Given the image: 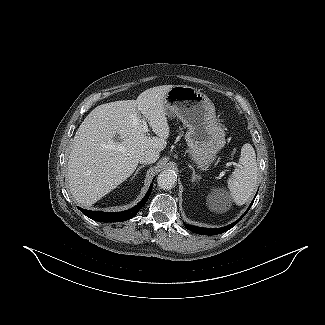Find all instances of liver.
Segmentation results:
<instances>
[{
    "label": "liver",
    "mask_w": 325,
    "mask_h": 325,
    "mask_svg": "<svg viewBox=\"0 0 325 325\" xmlns=\"http://www.w3.org/2000/svg\"><path fill=\"white\" fill-rule=\"evenodd\" d=\"M173 86L153 87L136 100L102 104L88 114L68 160V185L77 203L90 207L130 177L142 152L159 153L166 147L170 130L165 96ZM140 113L157 137L143 132Z\"/></svg>",
    "instance_id": "6515ba94"
}]
</instances>
